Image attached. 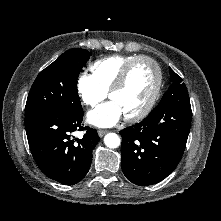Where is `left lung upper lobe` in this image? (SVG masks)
<instances>
[{"instance_id": "5c2ea615", "label": "left lung upper lobe", "mask_w": 221, "mask_h": 221, "mask_svg": "<svg viewBox=\"0 0 221 221\" xmlns=\"http://www.w3.org/2000/svg\"><path fill=\"white\" fill-rule=\"evenodd\" d=\"M169 71H170V80L172 84L166 93L175 94V96L180 94H188L187 88L185 84L182 82L181 77L178 76L171 68H169Z\"/></svg>"}]
</instances>
